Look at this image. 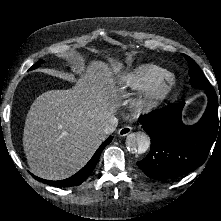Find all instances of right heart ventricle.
<instances>
[{
    "label": "right heart ventricle",
    "instance_id": "obj_1",
    "mask_svg": "<svg viewBox=\"0 0 221 221\" xmlns=\"http://www.w3.org/2000/svg\"><path fill=\"white\" fill-rule=\"evenodd\" d=\"M166 76L168 72L161 67L143 65L122 75L121 82L131 88L146 90Z\"/></svg>",
    "mask_w": 221,
    "mask_h": 221
}]
</instances>
